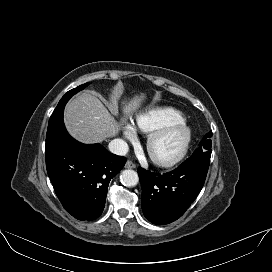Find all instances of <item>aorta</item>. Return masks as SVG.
I'll return each mask as SVG.
<instances>
[{
	"label": "aorta",
	"mask_w": 272,
	"mask_h": 272,
	"mask_svg": "<svg viewBox=\"0 0 272 272\" xmlns=\"http://www.w3.org/2000/svg\"><path fill=\"white\" fill-rule=\"evenodd\" d=\"M123 185L132 187L138 184L139 177L136 171L127 169L124 170L120 176Z\"/></svg>",
	"instance_id": "obj_1"
}]
</instances>
